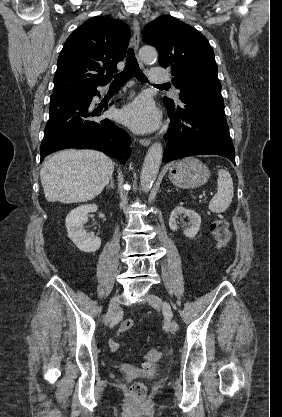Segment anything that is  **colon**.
I'll use <instances>...</instances> for the list:
<instances>
[{
	"label": "colon",
	"instance_id": "obj_1",
	"mask_svg": "<svg viewBox=\"0 0 282 417\" xmlns=\"http://www.w3.org/2000/svg\"><path fill=\"white\" fill-rule=\"evenodd\" d=\"M211 233L213 234L216 244L220 248H224L230 241V231L228 223L225 220L217 219L210 225ZM134 328V321L131 318L124 319L119 327L115 331V336L109 342V348L111 352H117L119 350L118 337L125 332ZM162 357V353L158 348H150L145 356V366L151 367L159 362ZM130 402L131 403H148L149 402V386L143 384L141 379H136L130 390Z\"/></svg>",
	"mask_w": 282,
	"mask_h": 417
}]
</instances>
